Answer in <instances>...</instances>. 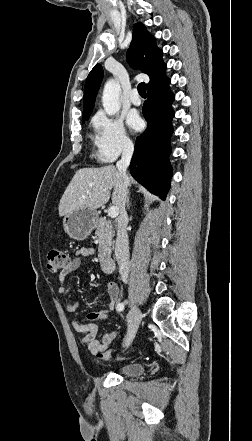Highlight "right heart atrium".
<instances>
[{
	"instance_id": "obj_1",
	"label": "right heart atrium",
	"mask_w": 252,
	"mask_h": 441,
	"mask_svg": "<svg viewBox=\"0 0 252 441\" xmlns=\"http://www.w3.org/2000/svg\"><path fill=\"white\" fill-rule=\"evenodd\" d=\"M93 127L96 156L101 162L110 163L133 152V142L122 118L99 112L93 119Z\"/></svg>"
}]
</instances>
